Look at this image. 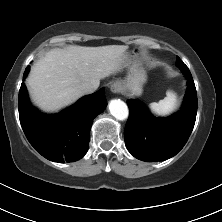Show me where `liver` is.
Here are the masks:
<instances>
[{"label": "liver", "instance_id": "1", "mask_svg": "<svg viewBox=\"0 0 222 222\" xmlns=\"http://www.w3.org/2000/svg\"><path fill=\"white\" fill-rule=\"evenodd\" d=\"M129 62L125 45H69L46 52L33 65L27 85L34 104L45 112H54L83 95L79 88L82 83L98 87L101 79L120 72Z\"/></svg>", "mask_w": 222, "mask_h": 222}]
</instances>
